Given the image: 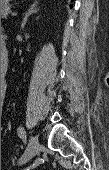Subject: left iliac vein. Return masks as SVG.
<instances>
[{"instance_id": "4c4485c4", "label": "left iliac vein", "mask_w": 109, "mask_h": 170, "mask_svg": "<svg viewBox=\"0 0 109 170\" xmlns=\"http://www.w3.org/2000/svg\"><path fill=\"white\" fill-rule=\"evenodd\" d=\"M37 150H38V141L35 137L30 136L28 140L27 149L24 155L20 158L19 164H24L30 161L37 153Z\"/></svg>"}]
</instances>
